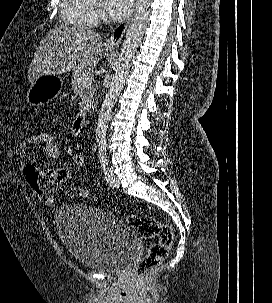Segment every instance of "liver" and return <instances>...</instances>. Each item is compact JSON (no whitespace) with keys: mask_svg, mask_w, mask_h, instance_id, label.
Returning <instances> with one entry per match:
<instances>
[{"mask_svg":"<svg viewBox=\"0 0 272 303\" xmlns=\"http://www.w3.org/2000/svg\"><path fill=\"white\" fill-rule=\"evenodd\" d=\"M101 36L84 26L59 25L42 39L29 65L32 83L41 76L93 69L102 58Z\"/></svg>","mask_w":272,"mask_h":303,"instance_id":"1","label":"liver"}]
</instances>
